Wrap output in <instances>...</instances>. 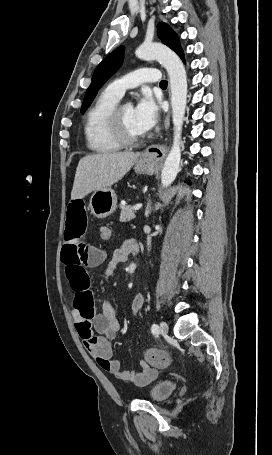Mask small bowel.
I'll use <instances>...</instances> for the list:
<instances>
[{"instance_id": "obj_1", "label": "small bowel", "mask_w": 272, "mask_h": 455, "mask_svg": "<svg viewBox=\"0 0 272 455\" xmlns=\"http://www.w3.org/2000/svg\"><path fill=\"white\" fill-rule=\"evenodd\" d=\"M86 226L87 214L83 203L71 202L67 210L61 258L74 296L71 315L75 329L89 354L103 370L121 381L137 385L147 384L157 376L156 369L150 368L144 360H141L138 370H124L121 368L120 361L113 357L110 339L120 331L121 322L112 303L106 300L102 304L100 313L94 311L88 269L102 263L105 252L84 242ZM138 251L139 245L135 240L124 241L113 251L112 258L105 269V277L110 278L119 263L124 262L129 255H136ZM143 304L144 296L140 293L136 294L131 303L132 312L138 313ZM94 331L98 335H95Z\"/></svg>"}]
</instances>
